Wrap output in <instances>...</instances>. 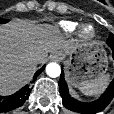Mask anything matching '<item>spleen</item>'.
I'll use <instances>...</instances> for the list:
<instances>
[{"mask_svg":"<svg viewBox=\"0 0 114 114\" xmlns=\"http://www.w3.org/2000/svg\"><path fill=\"white\" fill-rule=\"evenodd\" d=\"M110 82V76L105 75L94 81H86L79 87L80 91L86 96L97 97L107 87Z\"/></svg>","mask_w":114,"mask_h":114,"instance_id":"spleen-1","label":"spleen"}]
</instances>
